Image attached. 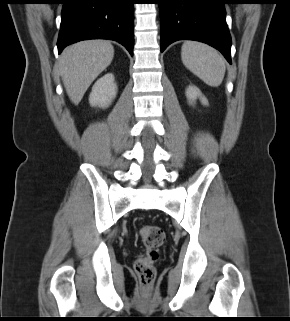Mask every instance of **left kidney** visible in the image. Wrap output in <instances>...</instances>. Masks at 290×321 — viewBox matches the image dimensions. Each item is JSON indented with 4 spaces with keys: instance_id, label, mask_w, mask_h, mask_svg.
Masks as SVG:
<instances>
[{
    "instance_id": "1",
    "label": "left kidney",
    "mask_w": 290,
    "mask_h": 321,
    "mask_svg": "<svg viewBox=\"0 0 290 321\" xmlns=\"http://www.w3.org/2000/svg\"><path fill=\"white\" fill-rule=\"evenodd\" d=\"M186 96L189 104H193L199 98L203 105H208V100L202 95L201 91L196 86H189L186 90Z\"/></svg>"
}]
</instances>
